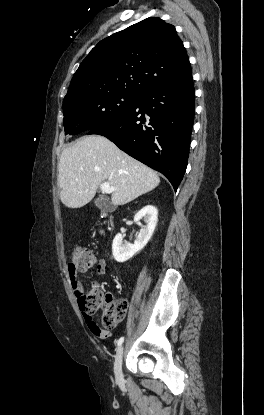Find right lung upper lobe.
<instances>
[{
	"label": "right lung upper lobe",
	"instance_id": "right-lung-upper-lobe-1",
	"mask_svg": "<svg viewBox=\"0 0 264 415\" xmlns=\"http://www.w3.org/2000/svg\"><path fill=\"white\" fill-rule=\"evenodd\" d=\"M191 72L174 26L149 17L99 42L74 73L64 100L107 92L140 96Z\"/></svg>",
	"mask_w": 264,
	"mask_h": 415
}]
</instances>
